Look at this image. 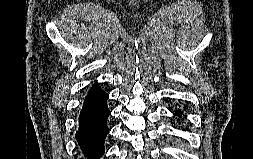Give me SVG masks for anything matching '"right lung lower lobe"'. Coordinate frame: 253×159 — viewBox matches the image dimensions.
Instances as JSON below:
<instances>
[{"label": "right lung lower lobe", "instance_id": "1", "mask_svg": "<svg viewBox=\"0 0 253 159\" xmlns=\"http://www.w3.org/2000/svg\"><path fill=\"white\" fill-rule=\"evenodd\" d=\"M109 95L97 84L90 89L79 115V129L76 139L88 159H99L104 152L105 137L109 132L107 107Z\"/></svg>", "mask_w": 253, "mask_h": 159}]
</instances>
